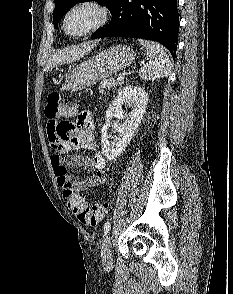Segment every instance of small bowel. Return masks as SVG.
Returning <instances> with one entry per match:
<instances>
[{
    "mask_svg": "<svg viewBox=\"0 0 233 294\" xmlns=\"http://www.w3.org/2000/svg\"><path fill=\"white\" fill-rule=\"evenodd\" d=\"M47 135L55 153L51 164L58 185L74 192L83 191L103 184L105 177V158L96 143V132L90 111H83L77 120H65L64 117H49ZM84 149L93 153L92 156L73 155L69 153ZM69 167H77L89 172L84 180H76L68 173Z\"/></svg>",
    "mask_w": 233,
    "mask_h": 294,
    "instance_id": "obj_1",
    "label": "small bowel"
}]
</instances>
